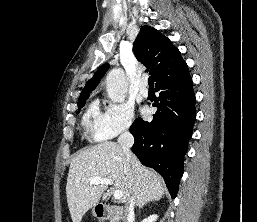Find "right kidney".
I'll use <instances>...</instances> for the list:
<instances>
[{
	"instance_id": "ca27d5eb",
	"label": "right kidney",
	"mask_w": 257,
	"mask_h": 222,
	"mask_svg": "<svg viewBox=\"0 0 257 222\" xmlns=\"http://www.w3.org/2000/svg\"><path fill=\"white\" fill-rule=\"evenodd\" d=\"M158 218V215L156 214H153V215H150L149 217L143 219L142 222H155Z\"/></svg>"
}]
</instances>
